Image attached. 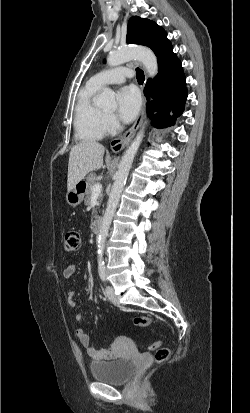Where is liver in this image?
Segmentation results:
<instances>
[{"label": "liver", "mask_w": 250, "mask_h": 413, "mask_svg": "<svg viewBox=\"0 0 250 413\" xmlns=\"http://www.w3.org/2000/svg\"><path fill=\"white\" fill-rule=\"evenodd\" d=\"M105 148L96 141H86L71 148L68 162L67 189L72 190L86 174L103 165Z\"/></svg>", "instance_id": "obj_1"}]
</instances>
